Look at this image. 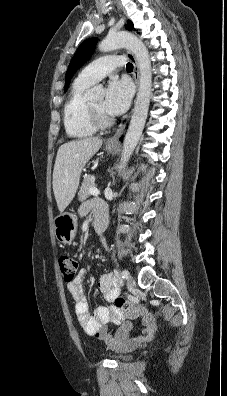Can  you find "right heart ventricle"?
<instances>
[{"mask_svg": "<svg viewBox=\"0 0 227 396\" xmlns=\"http://www.w3.org/2000/svg\"><path fill=\"white\" fill-rule=\"evenodd\" d=\"M91 86L77 78L70 90L63 109L65 131L72 138H85L93 135L97 127L93 124L84 97L85 91Z\"/></svg>", "mask_w": 227, "mask_h": 396, "instance_id": "e07e8e85", "label": "right heart ventricle"}]
</instances>
